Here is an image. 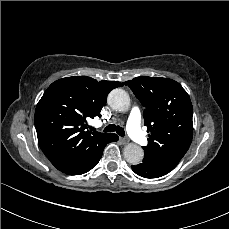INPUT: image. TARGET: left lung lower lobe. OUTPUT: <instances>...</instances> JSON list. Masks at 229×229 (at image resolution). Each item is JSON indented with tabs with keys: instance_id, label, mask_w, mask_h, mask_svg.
I'll list each match as a JSON object with an SVG mask.
<instances>
[{
	"instance_id": "0a47b994",
	"label": "left lung lower lobe",
	"mask_w": 229,
	"mask_h": 229,
	"mask_svg": "<svg viewBox=\"0 0 229 229\" xmlns=\"http://www.w3.org/2000/svg\"><path fill=\"white\" fill-rule=\"evenodd\" d=\"M132 170L145 178H158L163 176V174L157 172L155 169H153L149 164L142 162L138 165H132Z\"/></svg>"
}]
</instances>
